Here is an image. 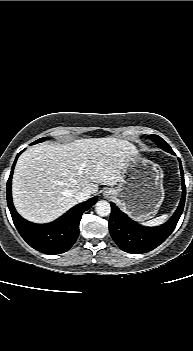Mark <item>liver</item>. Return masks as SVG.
Returning a JSON list of instances; mask_svg holds the SVG:
<instances>
[{"label": "liver", "mask_w": 193, "mask_h": 351, "mask_svg": "<svg viewBox=\"0 0 193 351\" xmlns=\"http://www.w3.org/2000/svg\"><path fill=\"white\" fill-rule=\"evenodd\" d=\"M135 152L128 141L111 137L32 146L14 169V205L31 222L53 221L78 203V192L95 194L99 185H118Z\"/></svg>", "instance_id": "1"}]
</instances>
